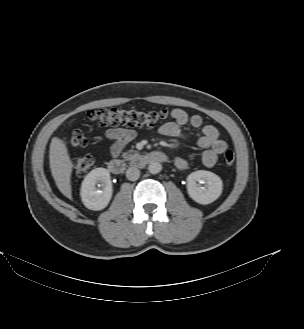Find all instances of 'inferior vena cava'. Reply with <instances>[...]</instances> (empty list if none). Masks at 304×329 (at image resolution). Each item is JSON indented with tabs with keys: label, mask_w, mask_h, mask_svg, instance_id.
<instances>
[{
	"label": "inferior vena cava",
	"mask_w": 304,
	"mask_h": 329,
	"mask_svg": "<svg viewBox=\"0 0 304 329\" xmlns=\"http://www.w3.org/2000/svg\"><path fill=\"white\" fill-rule=\"evenodd\" d=\"M126 177L130 181H136L140 177V171L136 167H129L126 171Z\"/></svg>",
	"instance_id": "obj_1"
}]
</instances>
